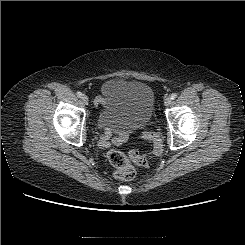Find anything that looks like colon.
<instances>
[{
	"instance_id": "1",
	"label": "colon",
	"mask_w": 245,
	"mask_h": 245,
	"mask_svg": "<svg viewBox=\"0 0 245 245\" xmlns=\"http://www.w3.org/2000/svg\"><path fill=\"white\" fill-rule=\"evenodd\" d=\"M143 137L150 141L153 145L150 154H142L136 150H132L127 156L118 149L108 151L107 157L111 165L115 168L114 177L118 180H130L136 175V168L133 163L145 166L148 162L160 155L163 150V144L160 136L152 131H144Z\"/></svg>"
}]
</instances>
